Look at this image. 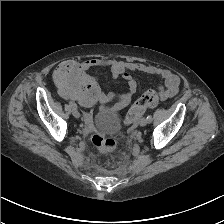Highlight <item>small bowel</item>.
I'll list each match as a JSON object with an SVG mask.
<instances>
[{
  "instance_id": "obj_1",
  "label": "small bowel",
  "mask_w": 224,
  "mask_h": 224,
  "mask_svg": "<svg viewBox=\"0 0 224 224\" xmlns=\"http://www.w3.org/2000/svg\"><path fill=\"white\" fill-rule=\"evenodd\" d=\"M84 69L90 68H108L111 70L114 78L122 76L127 84V91L119 97L118 108L126 107L132 100L137 90V82L130 72H139L159 77L163 81V86L159 88L158 98L166 100L174 97L178 92L179 77L168 69L156 66L145 65L132 61H117L105 58H92L82 63Z\"/></svg>"
}]
</instances>
